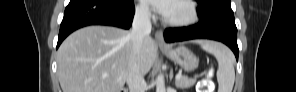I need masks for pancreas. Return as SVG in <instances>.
<instances>
[{"mask_svg": "<svg viewBox=\"0 0 296 92\" xmlns=\"http://www.w3.org/2000/svg\"><path fill=\"white\" fill-rule=\"evenodd\" d=\"M196 83V78L182 77L176 81V87L186 89L192 87Z\"/></svg>", "mask_w": 296, "mask_h": 92, "instance_id": "pancreas-1", "label": "pancreas"}]
</instances>
